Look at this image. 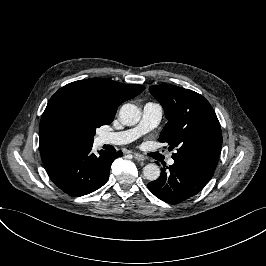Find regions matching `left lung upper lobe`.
Here are the masks:
<instances>
[{
	"label": "left lung upper lobe",
	"mask_w": 266,
	"mask_h": 266,
	"mask_svg": "<svg viewBox=\"0 0 266 266\" xmlns=\"http://www.w3.org/2000/svg\"><path fill=\"white\" fill-rule=\"evenodd\" d=\"M163 106L168 123L159 141L177 147L173 159H187L216 168L222 147L221 126L210 103L200 94L172 85L149 87Z\"/></svg>",
	"instance_id": "5c2ea615"
}]
</instances>
